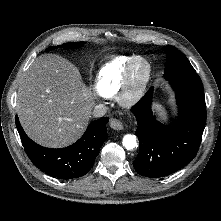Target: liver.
<instances>
[{"instance_id": "1", "label": "liver", "mask_w": 221, "mask_h": 221, "mask_svg": "<svg viewBox=\"0 0 221 221\" xmlns=\"http://www.w3.org/2000/svg\"><path fill=\"white\" fill-rule=\"evenodd\" d=\"M93 96L78 69L53 54L38 57L18 88L17 113L27 135L50 148L66 147L86 130Z\"/></svg>"}]
</instances>
